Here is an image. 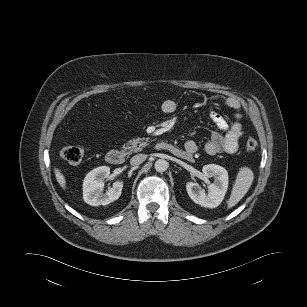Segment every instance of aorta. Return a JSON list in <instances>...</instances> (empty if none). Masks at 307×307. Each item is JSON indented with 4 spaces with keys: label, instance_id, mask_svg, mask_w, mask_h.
Returning <instances> with one entry per match:
<instances>
[{
    "label": "aorta",
    "instance_id": "obj_1",
    "mask_svg": "<svg viewBox=\"0 0 307 307\" xmlns=\"http://www.w3.org/2000/svg\"><path fill=\"white\" fill-rule=\"evenodd\" d=\"M169 164L166 160L164 159H158L156 160L155 164H154V167H155V170L157 172H164L167 170Z\"/></svg>",
    "mask_w": 307,
    "mask_h": 307
}]
</instances>
